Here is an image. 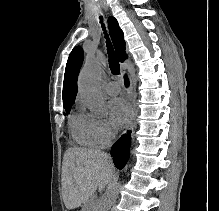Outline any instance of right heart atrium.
Segmentation results:
<instances>
[{"label": "right heart atrium", "mask_w": 219, "mask_h": 211, "mask_svg": "<svg viewBox=\"0 0 219 211\" xmlns=\"http://www.w3.org/2000/svg\"><path fill=\"white\" fill-rule=\"evenodd\" d=\"M92 129L97 144L109 146L116 136V129L110 121L105 118H93Z\"/></svg>", "instance_id": "1"}]
</instances>
